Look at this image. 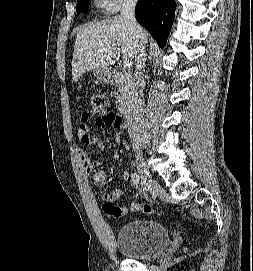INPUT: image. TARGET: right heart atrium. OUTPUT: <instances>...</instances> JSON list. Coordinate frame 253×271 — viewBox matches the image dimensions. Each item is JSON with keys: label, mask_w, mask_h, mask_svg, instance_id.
Instances as JSON below:
<instances>
[{"label": "right heart atrium", "mask_w": 253, "mask_h": 271, "mask_svg": "<svg viewBox=\"0 0 253 271\" xmlns=\"http://www.w3.org/2000/svg\"><path fill=\"white\" fill-rule=\"evenodd\" d=\"M133 1L136 0H97L101 9L109 13H114L119 10L124 3Z\"/></svg>", "instance_id": "obj_1"}]
</instances>
